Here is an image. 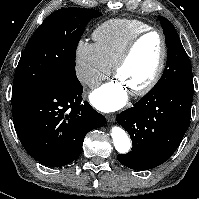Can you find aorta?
I'll return each instance as SVG.
<instances>
[{"label":"aorta","mask_w":199,"mask_h":199,"mask_svg":"<svg viewBox=\"0 0 199 199\" xmlns=\"http://www.w3.org/2000/svg\"><path fill=\"white\" fill-rule=\"evenodd\" d=\"M111 136L113 139V143L115 149L121 153L126 154L131 149V141L127 135V133L120 127H113L111 131Z\"/></svg>","instance_id":"762f6f07"}]
</instances>
